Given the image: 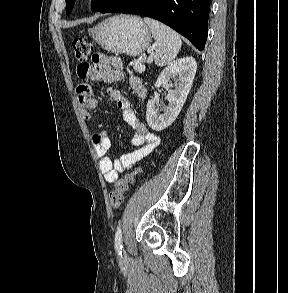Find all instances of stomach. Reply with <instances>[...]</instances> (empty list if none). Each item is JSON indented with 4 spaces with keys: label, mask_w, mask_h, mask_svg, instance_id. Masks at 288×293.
I'll use <instances>...</instances> for the list:
<instances>
[{
    "label": "stomach",
    "mask_w": 288,
    "mask_h": 293,
    "mask_svg": "<svg viewBox=\"0 0 288 293\" xmlns=\"http://www.w3.org/2000/svg\"><path fill=\"white\" fill-rule=\"evenodd\" d=\"M92 38L105 50L138 56L151 43V31L140 17L116 15L89 29Z\"/></svg>",
    "instance_id": "1"
}]
</instances>
